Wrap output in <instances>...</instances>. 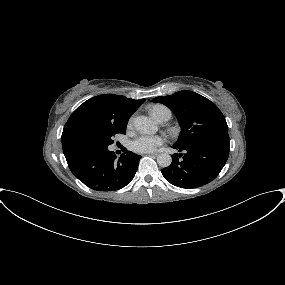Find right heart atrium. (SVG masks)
<instances>
[{
    "instance_id": "right-heart-atrium-1",
    "label": "right heart atrium",
    "mask_w": 285,
    "mask_h": 285,
    "mask_svg": "<svg viewBox=\"0 0 285 285\" xmlns=\"http://www.w3.org/2000/svg\"><path fill=\"white\" fill-rule=\"evenodd\" d=\"M133 124V118H131L130 120H129V126H131Z\"/></svg>"
}]
</instances>
